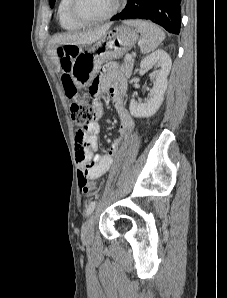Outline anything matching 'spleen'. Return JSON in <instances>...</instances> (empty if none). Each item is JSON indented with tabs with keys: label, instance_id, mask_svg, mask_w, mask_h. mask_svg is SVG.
Wrapping results in <instances>:
<instances>
[{
	"label": "spleen",
	"instance_id": "spleen-1",
	"mask_svg": "<svg viewBox=\"0 0 227 298\" xmlns=\"http://www.w3.org/2000/svg\"><path fill=\"white\" fill-rule=\"evenodd\" d=\"M127 25L135 27L142 36L141 52L143 54L154 51L165 39V33L157 25L143 20H128Z\"/></svg>",
	"mask_w": 227,
	"mask_h": 298
}]
</instances>
